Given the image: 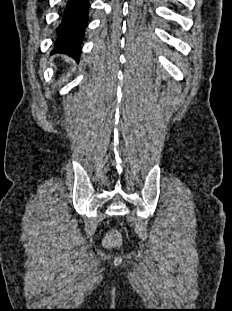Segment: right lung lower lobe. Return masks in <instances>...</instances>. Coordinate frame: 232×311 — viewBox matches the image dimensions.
Instances as JSON below:
<instances>
[{"instance_id": "1", "label": "right lung lower lobe", "mask_w": 232, "mask_h": 311, "mask_svg": "<svg viewBox=\"0 0 232 311\" xmlns=\"http://www.w3.org/2000/svg\"><path fill=\"white\" fill-rule=\"evenodd\" d=\"M88 0H66L62 10V20L57 30L55 51L77 59L81 43L88 25Z\"/></svg>"}]
</instances>
